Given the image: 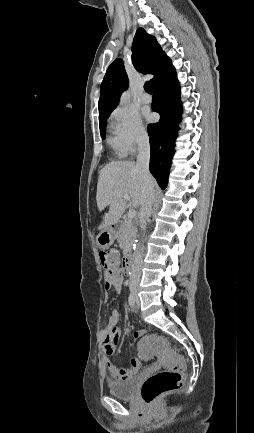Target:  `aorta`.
Returning <instances> with one entry per match:
<instances>
[{
    "label": "aorta",
    "instance_id": "1",
    "mask_svg": "<svg viewBox=\"0 0 254 433\" xmlns=\"http://www.w3.org/2000/svg\"><path fill=\"white\" fill-rule=\"evenodd\" d=\"M130 97L129 94L127 92L123 93L121 98H120V105H126L129 103Z\"/></svg>",
    "mask_w": 254,
    "mask_h": 433
}]
</instances>
